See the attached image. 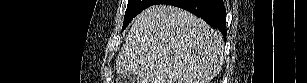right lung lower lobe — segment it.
Returning a JSON list of instances; mask_svg holds the SVG:
<instances>
[{
	"instance_id": "right-lung-lower-lobe-1",
	"label": "right lung lower lobe",
	"mask_w": 307,
	"mask_h": 83,
	"mask_svg": "<svg viewBox=\"0 0 307 83\" xmlns=\"http://www.w3.org/2000/svg\"><path fill=\"white\" fill-rule=\"evenodd\" d=\"M155 4H170L183 8L202 18L212 28L218 29L223 37L227 36L223 0H153L151 5Z\"/></svg>"
}]
</instances>
